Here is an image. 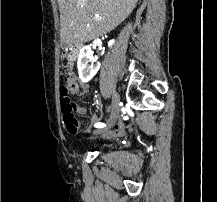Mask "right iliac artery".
Here are the masks:
<instances>
[{"label": "right iliac artery", "instance_id": "82829eb1", "mask_svg": "<svg viewBox=\"0 0 217 202\" xmlns=\"http://www.w3.org/2000/svg\"><path fill=\"white\" fill-rule=\"evenodd\" d=\"M96 128H103L105 127L106 125L104 123H101V122H98L94 125Z\"/></svg>", "mask_w": 217, "mask_h": 202}]
</instances>
